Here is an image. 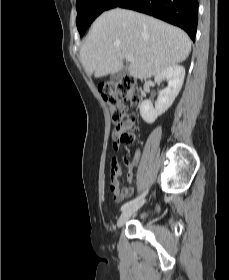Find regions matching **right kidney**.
Segmentation results:
<instances>
[{
	"label": "right kidney",
	"mask_w": 229,
	"mask_h": 280,
	"mask_svg": "<svg viewBox=\"0 0 229 280\" xmlns=\"http://www.w3.org/2000/svg\"><path fill=\"white\" fill-rule=\"evenodd\" d=\"M184 77L185 69L180 65L171 66L155 76L154 80L157 83L166 78L168 86L159 92L155 108L149 100L141 103L140 115L145 122L153 123L158 116L168 110L182 88Z\"/></svg>",
	"instance_id": "1"
}]
</instances>
